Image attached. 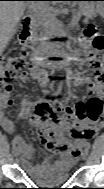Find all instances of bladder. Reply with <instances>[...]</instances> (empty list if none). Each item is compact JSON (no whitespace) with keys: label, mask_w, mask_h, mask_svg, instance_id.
I'll use <instances>...</instances> for the list:
<instances>
[{"label":"bladder","mask_w":104,"mask_h":189,"mask_svg":"<svg viewBox=\"0 0 104 189\" xmlns=\"http://www.w3.org/2000/svg\"><path fill=\"white\" fill-rule=\"evenodd\" d=\"M29 177L38 184L42 185H59L66 183L70 178L68 167H49L44 174H29Z\"/></svg>","instance_id":"obj_1"}]
</instances>
